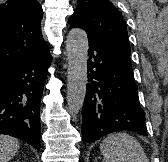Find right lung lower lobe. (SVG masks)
I'll return each instance as SVG.
<instances>
[{
	"label": "right lung lower lobe",
	"mask_w": 168,
	"mask_h": 162,
	"mask_svg": "<svg viewBox=\"0 0 168 162\" xmlns=\"http://www.w3.org/2000/svg\"><path fill=\"white\" fill-rule=\"evenodd\" d=\"M51 58L48 52L0 72V134L39 148V108Z\"/></svg>",
	"instance_id": "98d812e1"
}]
</instances>
